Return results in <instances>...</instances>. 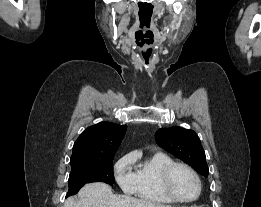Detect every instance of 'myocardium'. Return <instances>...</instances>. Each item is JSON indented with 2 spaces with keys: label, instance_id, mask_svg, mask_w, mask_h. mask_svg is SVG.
<instances>
[{
  "label": "myocardium",
  "instance_id": "obj_1",
  "mask_svg": "<svg viewBox=\"0 0 261 207\" xmlns=\"http://www.w3.org/2000/svg\"><path fill=\"white\" fill-rule=\"evenodd\" d=\"M177 168L186 169L188 172L191 173V175L196 180L197 186H198V191H197V194L195 197H193L191 199H183V198H180L179 196H177L175 194V192L173 191V189L171 187V178H172L173 172ZM161 185H162V189H163L164 193L174 202H178V203H192L200 197L201 192H202V182H201V179H200L198 173L190 165H188L186 163H181V162H174L164 168V170L161 174Z\"/></svg>",
  "mask_w": 261,
  "mask_h": 207
}]
</instances>
